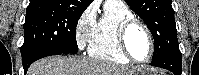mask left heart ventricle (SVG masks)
I'll list each match as a JSON object with an SVG mask.
<instances>
[{"mask_svg":"<svg viewBox=\"0 0 199 75\" xmlns=\"http://www.w3.org/2000/svg\"><path fill=\"white\" fill-rule=\"evenodd\" d=\"M127 46L132 56L137 60L147 57L150 46L144 30L139 26H133L127 35Z\"/></svg>","mask_w":199,"mask_h":75,"instance_id":"b2bd125f","label":"left heart ventricle"}]
</instances>
